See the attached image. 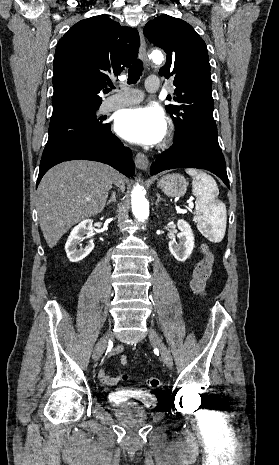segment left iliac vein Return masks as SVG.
Here are the masks:
<instances>
[{"label": "left iliac vein", "instance_id": "obj_1", "mask_svg": "<svg viewBox=\"0 0 279 465\" xmlns=\"http://www.w3.org/2000/svg\"><path fill=\"white\" fill-rule=\"evenodd\" d=\"M149 339L152 344L159 350L160 355L169 369L173 368V360L170 351L153 328H149Z\"/></svg>", "mask_w": 279, "mask_h": 465}]
</instances>
